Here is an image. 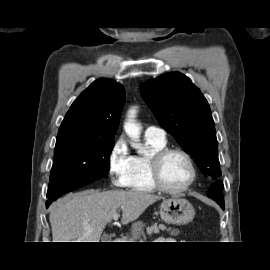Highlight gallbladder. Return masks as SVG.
<instances>
[{"label": "gallbladder", "instance_id": "1", "mask_svg": "<svg viewBox=\"0 0 270 270\" xmlns=\"http://www.w3.org/2000/svg\"><path fill=\"white\" fill-rule=\"evenodd\" d=\"M102 239L103 240H109V239H111V237L109 235H103V238Z\"/></svg>", "mask_w": 270, "mask_h": 270}]
</instances>
